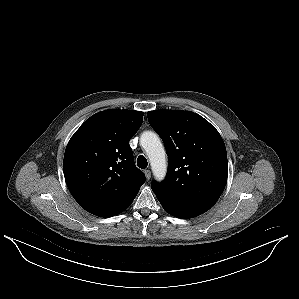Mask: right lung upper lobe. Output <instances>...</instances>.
<instances>
[{
    "label": "right lung upper lobe",
    "instance_id": "1",
    "mask_svg": "<svg viewBox=\"0 0 299 299\" xmlns=\"http://www.w3.org/2000/svg\"><path fill=\"white\" fill-rule=\"evenodd\" d=\"M143 112L108 109L88 118L71 137L63 170L73 198L86 211L111 217L127 209L145 182L135 166L130 139Z\"/></svg>",
    "mask_w": 299,
    "mask_h": 299
}]
</instances>
